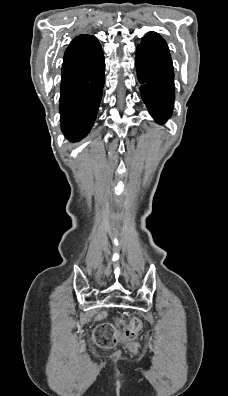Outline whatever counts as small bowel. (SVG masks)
I'll return each instance as SVG.
<instances>
[{"label":"small bowel","mask_w":228,"mask_h":396,"mask_svg":"<svg viewBox=\"0 0 228 396\" xmlns=\"http://www.w3.org/2000/svg\"><path fill=\"white\" fill-rule=\"evenodd\" d=\"M129 348L133 351L136 352L139 348V344L138 343H132L129 345Z\"/></svg>","instance_id":"obj_1"}]
</instances>
